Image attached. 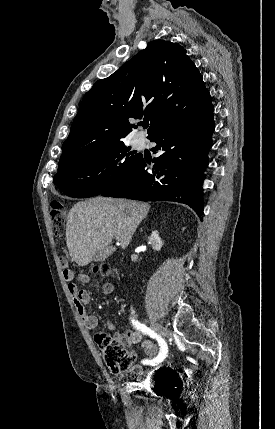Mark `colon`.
Listing matches in <instances>:
<instances>
[{
	"label": "colon",
	"instance_id": "1",
	"mask_svg": "<svg viewBox=\"0 0 275 429\" xmlns=\"http://www.w3.org/2000/svg\"><path fill=\"white\" fill-rule=\"evenodd\" d=\"M50 223L53 236L57 239L62 238L66 228V217L65 208L58 201L51 203ZM59 261L64 270H66V259L61 257ZM111 272L112 268L108 264H101L93 268V273L99 274L102 277L109 276ZM95 341L110 371L118 373L129 368L133 360V355L125 349L124 343L119 337L99 333L95 336Z\"/></svg>",
	"mask_w": 275,
	"mask_h": 429
}]
</instances>
